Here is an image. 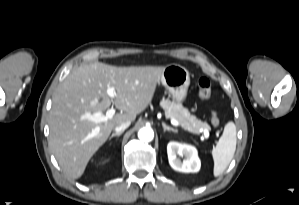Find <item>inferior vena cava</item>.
<instances>
[{
	"label": "inferior vena cava",
	"mask_w": 299,
	"mask_h": 205,
	"mask_svg": "<svg viewBox=\"0 0 299 205\" xmlns=\"http://www.w3.org/2000/svg\"><path fill=\"white\" fill-rule=\"evenodd\" d=\"M130 124H131L130 121L121 123L120 125L115 127V132L116 133L123 132L125 129H127L130 126Z\"/></svg>",
	"instance_id": "inferior-vena-cava-1"
}]
</instances>
